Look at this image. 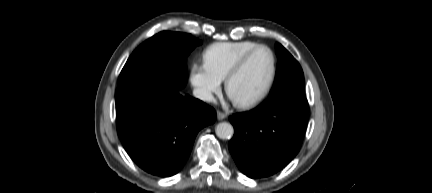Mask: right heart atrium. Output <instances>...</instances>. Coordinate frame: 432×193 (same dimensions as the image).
<instances>
[{
  "label": "right heart atrium",
  "instance_id": "d8ad5b80",
  "mask_svg": "<svg viewBox=\"0 0 432 193\" xmlns=\"http://www.w3.org/2000/svg\"><path fill=\"white\" fill-rule=\"evenodd\" d=\"M190 82L195 94L203 101L210 102L220 92L221 81L213 75L205 63L194 62L190 67Z\"/></svg>",
  "mask_w": 432,
  "mask_h": 193
}]
</instances>
